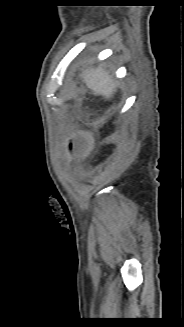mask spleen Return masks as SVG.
Returning a JSON list of instances; mask_svg holds the SVG:
<instances>
[{"label": "spleen", "mask_w": 184, "mask_h": 327, "mask_svg": "<svg viewBox=\"0 0 184 327\" xmlns=\"http://www.w3.org/2000/svg\"><path fill=\"white\" fill-rule=\"evenodd\" d=\"M83 79L87 87L94 91L95 95L109 98L115 92L112 77L102 68L86 70Z\"/></svg>", "instance_id": "spleen-1"}]
</instances>
